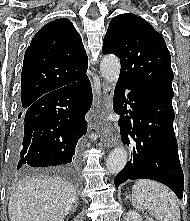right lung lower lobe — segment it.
<instances>
[{
    "instance_id": "98d812e1",
    "label": "right lung lower lobe",
    "mask_w": 190,
    "mask_h": 221,
    "mask_svg": "<svg viewBox=\"0 0 190 221\" xmlns=\"http://www.w3.org/2000/svg\"><path fill=\"white\" fill-rule=\"evenodd\" d=\"M92 90L87 75L51 91L24 108L13 146L14 169L59 166L75 162L79 139L86 133L85 114Z\"/></svg>"
}]
</instances>
